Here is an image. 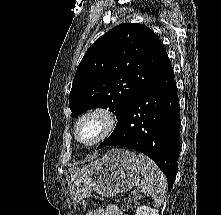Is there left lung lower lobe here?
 <instances>
[{"mask_svg": "<svg viewBox=\"0 0 221 215\" xmlns=\"http://www.w3.org/2000/svg\"><path fill=\"white\" fill-rule=\"evenodd\" d=\"M179 102L171 63L130 103L109 138L110 145L136 149L150 157L168 180H175L179 142Z\"/></svg>", "mask_w": 221, "mask_h": 215, "instance_id": "obj_1", "label": "left lung lower lobe"}]
</instances>
